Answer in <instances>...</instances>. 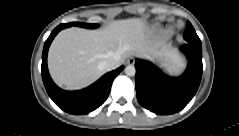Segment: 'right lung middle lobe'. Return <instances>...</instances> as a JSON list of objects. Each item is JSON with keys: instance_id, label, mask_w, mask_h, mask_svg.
Listing matches in <instances>:
<instances>
[{"instance_id": "1", "label": "right lung middle lobe", "mask_w": 239, "mask_h": 136, "mask_svg": "<svg viewBox=\"0 0 239 136\" xmlns=\"http://www.w3.org/2000/svg\"><path fill=\"white\" fill-rule=\"evenodd\" d=\"M64 27H70V26H80L84 28H97V24H87V23H78V22H73V23H68V24H63Z\"/></svg>"}]
</instances>
